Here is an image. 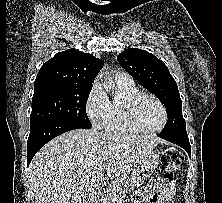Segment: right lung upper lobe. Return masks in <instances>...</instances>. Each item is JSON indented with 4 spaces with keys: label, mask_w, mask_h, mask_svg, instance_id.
I'll return each instance as SVG.
<instances>
[{
    "label": "right lung upper lobe",
    "mask_w": 222,
    "mask_h": 203,
    "mask_svg": "<svg viewBox=\"0 0 222 203\" xmlns=\"http://www.w3.org/2000/svg\"><path fill=\"white\" fill-rule=\"evenodd\" d=\"M103 65L102 60L75 48L59 52L40 68L34 91L53 86L92 87Z\"/></svg>",
    "instance_id": "obj_1"
}]
</instances>
